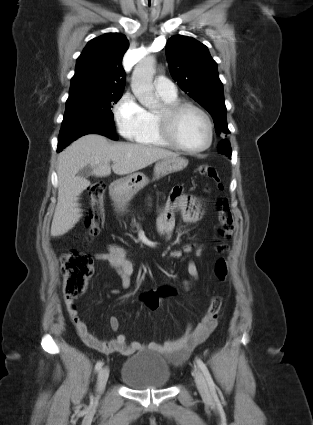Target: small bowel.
Returning <instances> with one entry per match:
<instances>
[{
  "instance_id": "obj_1",
  "label": "small bowel",
  "mask_w": 313,
  "mask_h": 425,
  "mask_svg": "<svg viewBox=\"0 0 313 425\" xmlns=\"http://www.w3.org/2000/svg\"><path fill=\"white\" fill-rule=\"evenodd\" d=\"M176 212H179L183 221L186 223H195L199 221L203 215L197 198L185 194L182 186H175L169 195L164 213L157 221V231L164 239L170 238L174 230ZM193 248L194 244H186L181 249L171 251L170 257L180 258L184 254L191 253ZM95 259L100 262H106L119 275L122 286L124 288L130 287L133 264L128 259L127 252L124 248L114 244L109 245L107 252L96 253ZM187 270L192 278L198 279L199 271L194 261L190 260L188 262ZM112 293L116 294L118 290H113ZM66 302L70 318L79 336L91 348L104 354L120 353L125 356H130L145 347L139 342L128 341L123 334H118L116 338L109 341L100 339L90 330L88 324L80 319L73 299H67ZM109 324L113 331H118L120 328V322L115 316L110 317ZM215 325L216 320L211 319L207 313L196 325L189 324L180 338L166 341L163 344L152 342L147 348L165 354L171 359L177 360L186 358L195 347L208 338L215 328Z\"/></svg>"
}]
</instances>
